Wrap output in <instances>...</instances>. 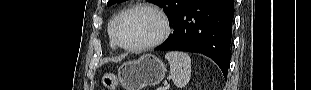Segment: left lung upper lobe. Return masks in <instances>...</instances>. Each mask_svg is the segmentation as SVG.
<instances>
[{
  "instance_id": "left-lung-upper-lobe-1",
  "label": "left lung upper lobe",
  "mask_w": 311,
  "mask_h": 90,
  "mask_svg": "<svg viewBox=\"0 0 311 90\" xmlns=\"http://www.w3.org/2000/svg\"><path fill=\"white\" fill-rule=\"evenodd\" d=\"M192 1L193 0H155L150 2H155L159 7H162L174 25L179 15ZM117 2H119V0H109L107 5L110 6Z\"/></svg>"
}]
</instances>
